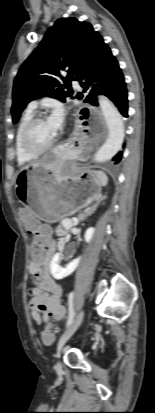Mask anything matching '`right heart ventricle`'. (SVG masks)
I'll return each instance as SVG.
<instances>
[{"mask_svg": "<svg viewBox=\"0 0 155 413\" xmlns=\"http://www.w3.org/2000/svg\"><path fill=\"white\" fill-rule=\"evenodd\" d=\"M33 117V110L27 109L22 115L15 134V153L17 161L20 165L31 162L35 156L29 155L25 152L22 146V132L27 122Z\"/></svg>", "mask_w": 155, "mask_h": 413, "instance_id": "e07e8e85", "label": "right heart ventricle"}]
</instances>
